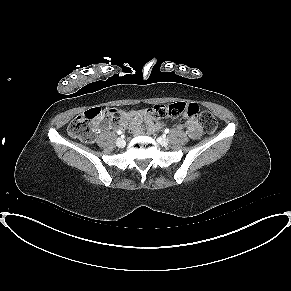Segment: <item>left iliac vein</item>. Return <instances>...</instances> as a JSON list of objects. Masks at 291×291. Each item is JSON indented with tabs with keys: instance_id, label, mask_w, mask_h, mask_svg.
Instances as JSON below:
<instances>
[{
	"instance_id": "obj_1",
	"label": "left iliac vein",
	"mask_w": 291,
	"mask_h": 291,
	"mask_svg": "<svg viewBox=\"0 0 291 291\" xmlns=\"http://www.w3.org/2000/svg\"><path fill=\"white\" fill-rule=\"evenodd\" d=\"M158 143L161 144L162 146H166L169 144V139L166 137H159L158 138Z\"/></svg>"
}]
</instances>
